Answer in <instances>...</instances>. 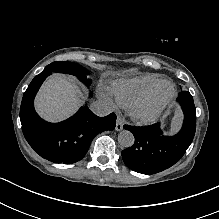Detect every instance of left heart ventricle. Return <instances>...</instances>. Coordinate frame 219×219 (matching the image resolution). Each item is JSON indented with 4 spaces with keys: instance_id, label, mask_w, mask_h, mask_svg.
I'll list each match as a JSON object with an SVG mask.
<instances>
[{
    "instance_id": "b2bd125f",
    "label": "left heart ventricle",
    "mask_w": 219,
    "mask_h": 219,
    "mask_svg": "<svg viewBox=\"0 0 219 219\" xmlns=\"http://www.w3.org/2000/svg\"><path fill=\"white\" fill-rule=\"evenodd\" d=\"M169 91H170L169 85L168 84H162L157 90L156 99L165 98L168 95Z\"/></svg>"
}]
</instances>
